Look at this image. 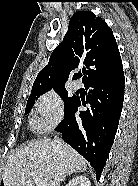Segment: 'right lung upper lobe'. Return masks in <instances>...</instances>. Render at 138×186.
Segmentation results:
<instances>
[{
  "label": "right lung upper lobe",
  "instance_id": "right-lung-upper-lobe-1",
  "mask_svg": "<svg viewBox=\"0 0 138 186\" xmlns=\"http://www.w3.org/2000/svg\"><path fill=\"white\" fill-rule=\"evenodd\" d=\"M78 66H84V84L110 81L124 75L111 28L90 11H78L71 17L62 43L37 75L31 94L65 86L70 72ZM79 74H74L73 79Z\"/></svg>",
  "mask_w": 138,
  "mask_h": 186
}]
</instances>
